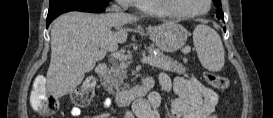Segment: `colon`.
Wrapping results in <instances>:
<instances>
[{"label": "colon", "mask_w": 273, "mask_h": 118, "mask_svg": "<svg viewBox=\"0 0 273 118\" xmlns=\"http://www.w3.org/2000/svg\"><path fill=\"white\" fill-rule=\"evenodd\" d=\"M204 78L212 87L225 90L229 87V80L210 72L204 74ZM97 85L95 77H87L72 93V101L76 106L83 107L89 104ZM31 102L33 109L46 115L54 114L58 111V102L54 96L46 89V82L43 78H37L34 82Z\"/></svg>", "instance_id": "1"}]
</instances>
